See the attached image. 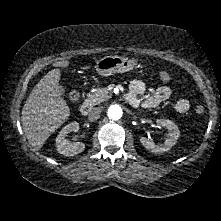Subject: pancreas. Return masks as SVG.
Masks as SVG:
<instances>
[{
	"mask_svg": "<svg viewBox=\"0 0 221 221\" xmlns=\"http://www.w3.org/2000/svg\"><path fill=\"white\" fill-rule=\"evenodd\" d=\"M110 98L109 90L107 88H97L94 93L87 96L85 102L90 107L98 105Z\"/></svg>",
	"mask_w": 221,
	"mask_h": 221,
	"instance_id": "1",
	"label": "pancreas"
}]
</instances>
